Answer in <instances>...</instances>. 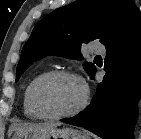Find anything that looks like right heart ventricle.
<instances>
[{"mask_svg": "<svg viewBox=\"0 0 141 139\" xmlns=\"http://www.w3.org/2000/svg\"><path fill=\"white\" fill-rule=\"evenodd\" d=\"M44 71H41L34 75L29 82L27 83L24 91H23V97H22V109L24 115L29 119H40L41 117L37 114V112L34 110L31 104L30 100V92L31 88L34 84V82L42 75L44 74Z\"/></svg>", "mask_w": 141, "mask_h": 139, "instance_id": "right-heart-ventricle-1", "label": "right heart ventricle"}]
</instances>
